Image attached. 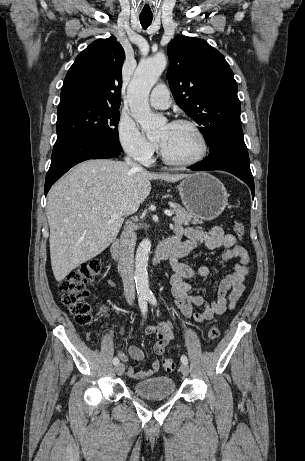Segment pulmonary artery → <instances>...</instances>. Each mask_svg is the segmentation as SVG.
I'll return each instance as SVG.
<instances>
[{
  "label": "pulmonary artery",
  "mask_w": 305,
  "mask_h": 461,
  "mask_svg": "<svg viewBox=\"0 0 305 461\" xmlns=\"http://www.w3.org/2000/svg\"><path fill=\"white\" fill-rule=\"evenodd\" d=\"M150 105L157 109H167L171 105L169 90L165 84H159L151 92Z\"/></svg>",
  "instance_id": "1"
}]
</instances>
